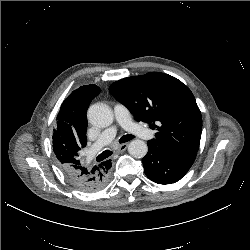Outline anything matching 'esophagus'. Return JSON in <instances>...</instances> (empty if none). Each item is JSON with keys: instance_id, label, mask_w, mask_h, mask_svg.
I'll return each mask as SVG.
<instances>
[{"instance_id": "34e87169", "label": "esophagus", "mask_w": 250, "mask_h": 250, "mask_svg": "<svg viewBox=\"0 0 250 250\" xmlns=\"http://www.w3.org/2000/svg\"><path fill=\"white\" fill-rule=\"evenodd\" d=\"M127 147H128L127 143L121 144V145L118 146L117 152L118 153L124 152L127 149Z\"/></svg>"}]
</instances>
